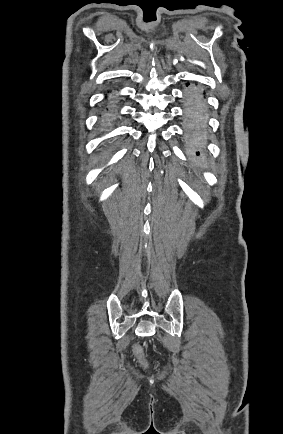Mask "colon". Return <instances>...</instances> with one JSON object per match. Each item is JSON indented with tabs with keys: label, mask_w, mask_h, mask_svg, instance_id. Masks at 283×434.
<instances>
[{
	"label": "colon",
	"mask_w": 283,
	"mask_h": 434,
	"mask_svg": "<svg viewBox=\"0 0 283 434\" xmlns=\"http://www.w3.org/2000/svg\"><path fill=\"white\" fill-rule=\"evenodd\" d=\"M134 353L139 359L143 358V353H142V350L139 346L134 347Z\"/></svg>",
	"instance_id": "1"
}]
</instances>
